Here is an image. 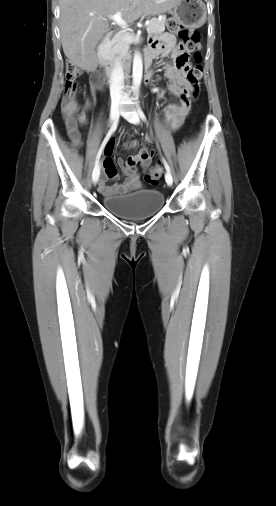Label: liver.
Returning a JSON list of instances; mask_svg holds the SVG:
<instances>
[{"instance_id":"1","label":"liver","mask_w":276,"mask_h":506,"mask_svg":"<svg viewBox=\"0 0 276 506\" xmlns=\"http://www.w3.org/2000/svg\"><path fill=\"white\" fill-rule=\"evenodd\" d=\"M180 0H59L64 54L80 68L97 67L95 48L109 31V16L117 12L127 22L173 9Z\"/></svg>"}]
</instances>
